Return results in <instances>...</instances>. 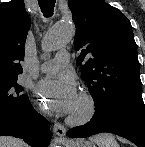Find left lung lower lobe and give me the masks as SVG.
<instances>
[{
  "label": "left lung lower lobe",
  "mask_w": 145,
  "mask_h": 147,
  "mask_svg": "<svg viewBox=\"0 0 145 147\" xmlns=\"http://www.w3.org/2000/svg\"><path fill=\"white\" fill-rule=\"evenodd\" d=\"M101 132H110L145 147V105L142 99L122 105L103 119L95 114L90 122L69 130L68 137L84 138Z\"/></svg>",
  "instance_id": "0a47b994"
}]
</instances>
